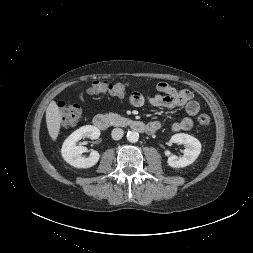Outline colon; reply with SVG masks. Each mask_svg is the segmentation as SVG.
I'll return each mask as SVG.
<instances>
[{"instance_id":"5ec220e1","label":"colon","mask_w":253,"mask_h":253,"mask_svg":"<svg viewBox=\"0 0 253 253\" xmlns=\"http://www.w3.org/2000/svg\"><path fill=\"white\" fill-rule=\"evenodd\" d=\"M127 84L124 82H109L95 80L92 82L87 92L89 94H108L111 96H122L126 92ZM61 111V122L63 126L74 125L82 114V109L78 104L59 103ZM197 124L201 128H207L210 124V116L202 113L197 117Z\"/></svg>"}]
</instances>
